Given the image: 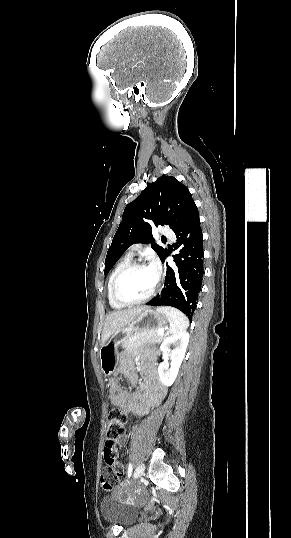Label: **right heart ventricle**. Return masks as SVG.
<instances>
[{
  "label": "right heart ventricle",
  "instance_id": "obj_1",
  "mask_svg": "<svg viewBox=\"0 0 291 538\" xmlns=\"http://www.w3.org/2000/svg\"><path fill=\"white\" fill-rule=\"evenodd\" d=\"M131 263V256L130 255H124L116 264L115 266L113 267L110 275H109V278H108V281H107V297H108V300H109V303L110 305L113 307V308H121L123 307L122 305L118 304L112 297V283H113V280L115 278V276L124 268L126 267L128 264Z\"/></svg>",
  "mask_w": 291,
  "mask_h": 538
}]
</instances>
